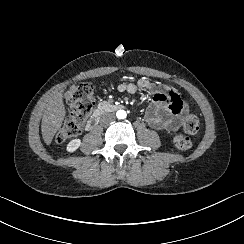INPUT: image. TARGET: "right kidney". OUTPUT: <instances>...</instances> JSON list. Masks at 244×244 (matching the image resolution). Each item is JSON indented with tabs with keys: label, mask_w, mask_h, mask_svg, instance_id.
Masks as SVG:
<instances>
[{
	"label": "right kidney",
	"mask_w": 244,
	"mask_h": 244,
	"mask_svg": "<svg viewBox=\"0 0 244 244\" xmlns=\"http://www.w3.org/2000/svg\"><path fill=\"white\" fill-rule=\"evenodd\" d=\"M81 144H82V140L79 138L69 141L68 144L66 145V152L70 154L77 151L78 148L81 146Z\"/></svg>",
	"instance_id": "1"
}]
</instances>
